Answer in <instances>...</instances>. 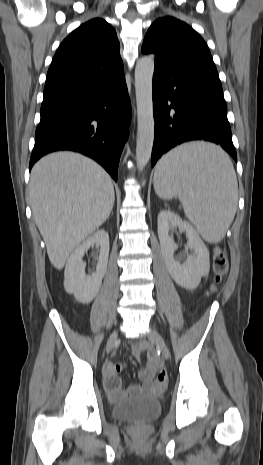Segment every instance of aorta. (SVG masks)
I'll return each mask as SVG.
<instances>
[{
	"instance_id": "aorta-1",
	"label": "aorta",
	"mask_w": 263,
	"mask_h": 465,
	"mask_svg": "<svg viewBox=\"0 0 263 465\" xmlns=\"http://www.w3.org/2000/svg\"><path fill=\"white\" fill-rule=\"evenodd\" d=\"M154 57L144 56L136 63L135 93L137 105L136 163L142 170L150 160L154 141V116L152 100V79Z\"/></svg>"
}]
</instances>
